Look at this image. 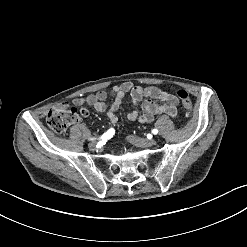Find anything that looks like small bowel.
Here are the masks:
<instances>
[{
    "label": "small bowel",
    "mask_w": 247,
    "mask_h": 247,
    "mask_svg": "<svg viewBox=\"0 0 247 247\" xmlns=\"http://www.w3.org/2000/svg\"><path fill=\"white\" fill-rule=\"evenodd\" d=\"M126 95H129L134 104H139L145 99L141 104V115L137 111L129 112L127 114L128 120L138 119L141 123L147 124L153 121L154 116L163 113L172 118L177 116L178 99L175 95L157 87L142 88L128 81L113 86L109 92L101 90L87 96L74 98L72 103L75 106L89 105L98 112L106 113L109 122L115 125L118 122L116 112ZM109 96L113 97V103L107 106L105 100ZM66 106V103L62 104V107ZM80 115L87 118L90 116V111L87 108H81Z\"/></svg>",
    "instance_id": "obj_1"
}]
</instances>
